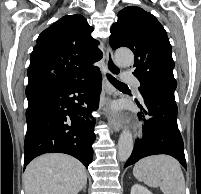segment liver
Returning a JSON list of instances; mask_svg holds the SVG:
<instances>
[{
	"label": "liver",
	"mask_w": 201,
	"mask_h": 194,
	"mask_svg": "<svg viewBox=\"0 0 201 194\" xmlns=\"http://www.w3.org/2000/svg\"><path fill=\"white\" fill-rule=\"evenodd\" d=\"M86 183L84 165L69 155L59 153L35 158L23 175L25 194H78Z\"/></svg>",
	"instance_id": "obj_1"
}]
</instances>
